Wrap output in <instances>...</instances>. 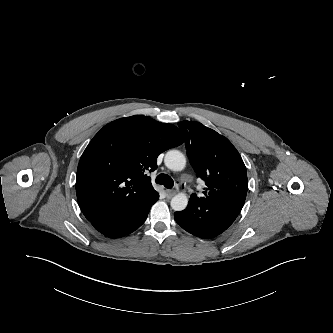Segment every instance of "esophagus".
I'll return each mask as SVG.
<instances>
[{"mask_svg":"<svg viewBox=\"0 0 333 333\" xmlns=\"http://www.w3.org/2000/svg\"><path fill=\"white\" fill-rule=\"evenodd\" d=\"M176 194V190L169 189L166 191L167 198H172Z\"/></svg>","mask_w":333,"mask_h":333,"instance_id":"1","label":"esophagus"}]
</instances>
